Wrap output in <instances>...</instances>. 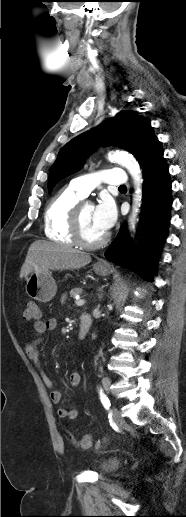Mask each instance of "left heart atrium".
I'll list each match as a JSON object with an SVG mask.
<instances>
[{
  "instance_id": "obj_1",
  "label": "left heart atrium",
  "mask_w": 186,
  "mask_h": 517,
  "mask_svg": "<svg viewBox=\"0 0 186 517\" xmlns=\"http://www.w3.org/2000/svg\"><path fill=\"white\" fill-rule=\"evenodd\" d=\"M94 221L103 231L107 232L115 223L117 210L114 201L107 195L102 196L100 202L94 207Z\"/></svg>"
}]
</instances>
